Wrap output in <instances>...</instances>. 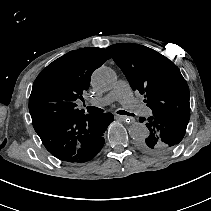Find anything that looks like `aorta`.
Wrapping results in <instances>:
<instances>
[{"mask_svg": "<svg viewBox=\"0 0 211 211\" xmlns=\"http://www.w3.org/2000/svg\"><path fill=\"white\" fill-rule=\"evenodd\" d=\"M116 80L115 72L111 68L102 66L94 71L91 84L96 89L109 90L115 85ZM148 134L149 131L143 123L133 122L129 127V135L134 140H143Z\"/></svg>", "mask_w": 211, "mask_h": 211, "instance_id": "1", "label": "aorta"}]
</instances>
